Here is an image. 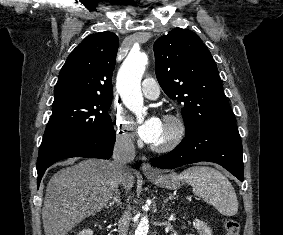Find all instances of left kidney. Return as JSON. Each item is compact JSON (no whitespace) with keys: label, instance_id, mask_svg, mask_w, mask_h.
I'll return each mask as SVG.
<instances>
[{"label":"left kidney","instance_id":"left-kidney-1","mask_svg":"<svg viewBox=\"0 0 283 235\" xmlns=\"http://www.w3.org/2000/svg\"><path fill=\"white\" fill-rule=\"evenodd\" d=\"M193 224L197 229L199 235H212L210 228L207 226L205 222L199 219H195ZM187 235H193V234H187Z\"/></svg>","mask_w":283,"mask_h":235}]
</instances>
